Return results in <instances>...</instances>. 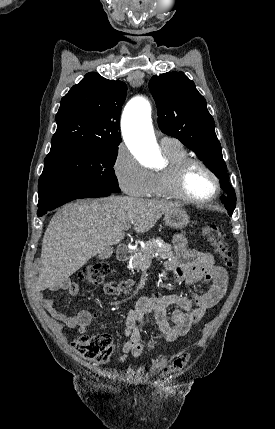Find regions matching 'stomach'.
I'll return each mask as SVG.
<instances>
[{"label":"stomach","mask_w":275,"mask_h":429,"mask_svg":"<svg viewBox=\"0 0 275 429\" xmlns=\"http://www.w3.org/2000/svg\"><path fill=\"white\" fill-rule=\"evenodd\" d=\"M164 222L171 228L182 229L189 223V216L184 209L176 207L165 213Z\"/></svg>","instance_id":"obj_1"}]
</instances>
